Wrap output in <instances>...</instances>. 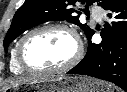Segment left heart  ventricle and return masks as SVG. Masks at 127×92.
I'll return each instance as SVG.
<instances>
[{"label":"left heart ventricle","instance_id":"obj_1","mask_svg":"<svg viewBox=\"0 0 127 92\" xmlns=\"http://www.w3.org/2000/svg\"><path fill=\"white\" fill-rule=\"evenodd\" d=\"M76 51L72 36L62 30H48L32 37L26 44L24 56L33 68L52 69L67 63Z\"/></svg>","mask_w":127,"mask_h":92}]
</instances>
